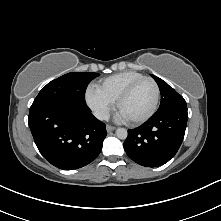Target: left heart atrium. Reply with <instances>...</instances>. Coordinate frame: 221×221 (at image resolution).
Listing matches in <instances>:
<instances>
[{
	"label": "left heart atrium",
	"mask_w": 221,
	"mask_h": 221,
	"mask_svg": "<svg viewBox=\"0 0 221 221\" xmlns=\"http://www.w3.org/2000/svg\"><path fill=\"white\" fill-rule=\"evenodd\" d=\"M117 119L120 120V121L127 120V119L125 118V116H124L122 113H119V114H118Z\"/></svg>",
	"instance_id": "obj_1"
}]
</instances>
